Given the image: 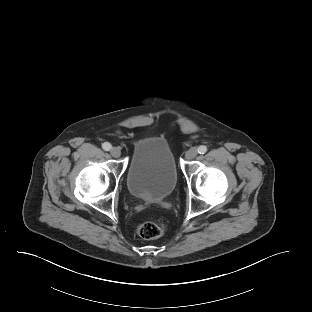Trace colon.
Wrapping results in <instances>:
<instances>
[{"label":"colon","instance_id":"colon-1","mask_svg":"<svg viewBox=\"0 0 312 312\" xmlns=\"http://www.w3.org/2000/svg\"><path fill=\"white\" fill-rule=\"evenodd\" d=\"M166 224L162 221H149L138 225L136 232L143 239H155L164 234Z\"/></svg>","mask_w":312,"mask_h":312}]
</instances>
